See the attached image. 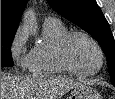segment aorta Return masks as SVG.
Returning <instances> with one entry per match:
<instances>
[{
	"label": "aorta",
	"instance_id": "1",
	"mask_svg": "<svg viewBox=\"0 0 115 99\" xmlns=\"http://www.w3.org/2000/svg\"><path fill=\"white\" fill-rule=\"evenodd\" d=\"M24 22L30 28L31 31H34L36 29L35 19L31 13L26 14Z\"/></svg>",
	"mask_w": 115,
	"mask_h": 99
}]
</instances>
